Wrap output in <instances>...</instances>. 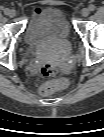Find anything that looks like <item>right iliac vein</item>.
Wrapping results in <instances>:
<instances>
[{
	"label": "right iliac vein",
	"mask_w": 104,
	"mask_h": 137,
	"mask_svg": "<svg viewBox=\"0 0 104 137\" xmlns=\"http://www.w3.org/2000/svg\"><path fill=\"white\" fill-rule=\"evenodd\" d=\"M7 15L9 17H15L16 16V11L14 9H10V10H8Z\"/></svg>",
	"instance_id": "1"
}]
</instances>
